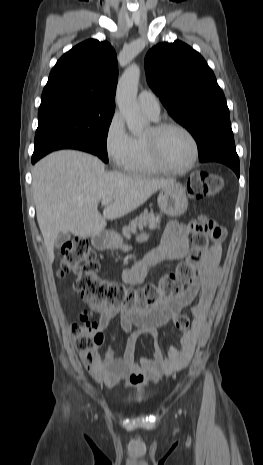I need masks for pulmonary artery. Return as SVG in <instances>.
Segmentation results:
<instances>
[{
  "label": "pulmonary artery",
  "instance_id": "obj_1",
  "mask_svg": "<svg viewBox=\"0 0 263 465\" xmlns=\"http://www.w3.org/2000/svg\"><path fill=\"white\" fill-rule=\"evenodd\" d=\"M140 109L149 117L158 119L160 114V103L156 95L148 90H143L138 95Z\"/></svg>",
  "mask_w": 263,
  "mask_h": 465
}]
</instances>
